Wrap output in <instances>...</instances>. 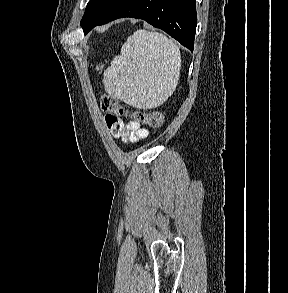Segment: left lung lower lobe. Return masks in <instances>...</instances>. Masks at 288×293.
Here are the masks:
<instances>
[{"label": "left lung lower lobe", "instance_id": "1", "mask_svg": "<svg viewBox=\"0 0 288 293\" xmlns=\"http://www.w3.org/2000/svg\"><path fill=\"white\" fill-rule=\"evenodd\" d=\"M122 17L143 19L193 51L197 26L195 0H118L92 28Z\"/></svg>", "mask_w": 288, "mask_h": 293}]
</instances>
